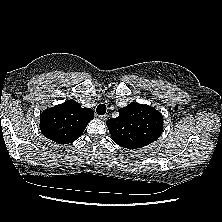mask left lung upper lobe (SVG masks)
Here are the masks:
<instances>
[{"mask_svg":"<svg viewBox=\"0 0 222 222\" xmlns=\"http://www.w3.org/2000/svg\"><path fill=\"white\" fill-rule=\"evenodd\" d=\"M118 112L119 116L106 124L112 139L121 147L142 148L158 139L163 131V116L151 106L132 102Z\"/></svg>","mask_w":222,"mask_h":222,"instance_id":"obj_1","label":"left lung upper lobe"}]
</instances>
